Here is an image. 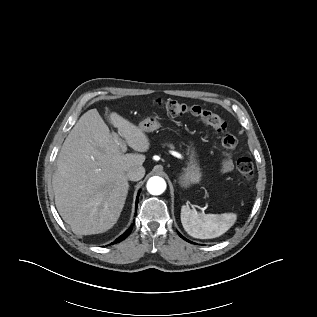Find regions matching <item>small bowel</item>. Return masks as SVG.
<instances>
[{
	"mask_svg": "<svg viewBox=\"0 0 317 317\" xmlns=\"http://www.w3.org/2000/svg\"><path fill=\"white\" fill-rule=\"evenodd\" d=\"M233 169V163L230 157H226L221 163V172L227 173Z\"/></svg>",
	"mask_w": 317,
	"mask_h": 317,
	"instance_id": "c3829d8e",
	"label": "small bowel"
}]
</instances>
